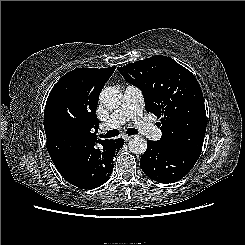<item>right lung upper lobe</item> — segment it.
<instances>
[{"mask_svg": "<svg viewBox=\"0 0 245 245\" xmlns=\"http://www.w3.org/2000/svg\"><path fill=\"white\" fill-rule=\"evenodd\" d=\"M115 67L78 68L52 88L44 111L46 147L50 157L73 160L99 142L98 99Z\"/></svg>", "mask_w": 245, "mask_h": 245, "instance_id": "right-lung-upper-lobe-1", "label": "right lung upper lobe"}]
</instances>
